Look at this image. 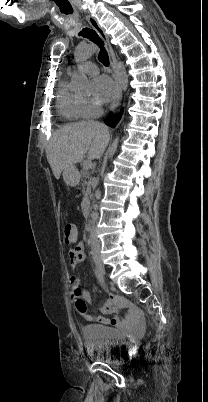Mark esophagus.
<instances>
[{
    "label": "esophagus",
    "instance_id": "esophagus-1",
    "mask_svg": "<svg viewBox=\"0 0 208 402\" xmlns=\"http://www.w3.org/2000/svg\"><path fill=\"white\" fill-rule=\"evenodd\" d=\"M85 18H86L87 22L91 25V27H93L94 30H96L97 34L100 35L101 39L103 40L106 50H107L108 57H109L110 65L114 72V79H115L116 85H117V93H116L115 99L113 100V102L110 105V109L112 111H114L118 107V105L120 104L121 99H122V89H121V85L119 83V78H118L115 53L112 49L109 38H108L104 28L98 23L97 19L94 18L92 15H87Z\"/></svg>",
    "mask_w": 208,
    "mask_h": 402
}]
</instances>
